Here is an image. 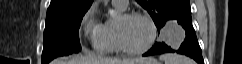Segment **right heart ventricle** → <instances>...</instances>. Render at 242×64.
<instances>
[{"instance_id": "right-heart-ventricle-1", "label": "right heart ventricle", "mask_w": 242, "mask_h": 64, "mask_svg": "<svg viewBox=\"0 0 242 64\" xmlns=\"http://www.w3.org/2000/svg\"><path fill=\"white\" fill-rule=\"evenodd\" d=\"M119 12H123L116 7ZM116 24L114 19H108L103 25L102 32L96 37L94 41L95 48L102 53H112L119 49L116 38Z\"/></svg>"}]
</instances>
